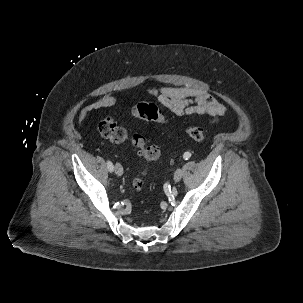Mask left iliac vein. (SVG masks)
Masks as SVG:
<instances>
[{
	"label": "left iliac vein",
	"instance_id": "obj_1",
	"mask_svg": "<svg viewBox=\"0 0 303 303\" xmlns=\"http://www.w3.org/2000/svg\"><path fill=\"white\" fill-rule=\"evenodd\" d=\"M183 170L181 168H178L174 173V181L179 182L182 178Z\"/></svg>",
	"mask_w": 303,
	"mask_h": 303
}]
</instances>
